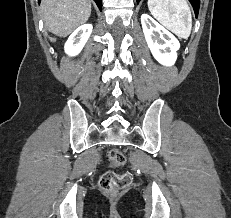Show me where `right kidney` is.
Segmentation results:
<instances>
[{
    "instance_id": "1",
    "label": "right kidney",
    "mask_w": 231,
    "mask_h": 218,
    "mask_svg": "<svg viewBox=\"0 0 231 218\" xmlns=\"http://www.w3.org/2000/svg\"><path fill=\"white\" fill-rule=\"evenodd\" d=\"M92 29L93 26L91 24H84L78 27L65 43V52L71 56L78 55L90 37Z\"/></svg>"
}]
</instances>
